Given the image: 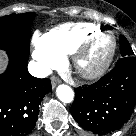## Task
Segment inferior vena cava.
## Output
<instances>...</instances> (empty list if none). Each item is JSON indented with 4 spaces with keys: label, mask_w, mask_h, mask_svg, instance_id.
<instances>
[{
    "label": "inferior vena cava",
    "mask_w": 136,
    "mask_h": 136,
    "mask_svg": "<svg viewBox=\"0 0 136 136\" xmlns=\"http://www.w3.org/2000/svg\"><path fill=\"white\" fill-rule=\"evenodd\" d=\"M28 71L32 76L37 78H45L51 73V70L46 65L35 61L29 62Z\"/></svg>",
    "instance_id": "obj_1"
}]
</instances>
